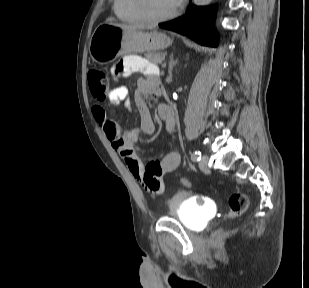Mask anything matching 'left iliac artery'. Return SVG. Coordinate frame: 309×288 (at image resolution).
Here are the masks:
<instances>
[{"instance_id":"44dca946","label":"left iliac artery","mask_w":309,"mask_h":288,"mask_svg":"<svg viewBox=\"0 0 309 288\" xmlns=\"http://www.w3.org/2000/svg\"><path fill=\"white\" fill-rule=\"evenodd\" d=\"M191 159L193 161H200L201 159V152L199 150H195L192 155H191Z\"/></svg>"}]
</instances>
